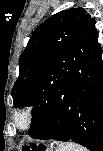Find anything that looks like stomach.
<instances>
[{
    "instance_id": "0dacf381",
    "label": "stomach",
    "mask_w": 103,
    "mask_h": 151,
    "mask_svg": "<svg viewBox=\"0 0 103 151\" xmlns=\"http://www.w3.org/2000/svg\"><path fill=\"white\" fill-rule=\"evenodd\" d=\"M35 149L37 150H45V151H54L52 146H48V145H41V144H37L35 145Z\"/></svg>"
}]
</instances>
